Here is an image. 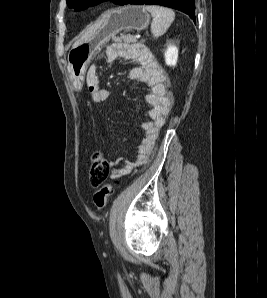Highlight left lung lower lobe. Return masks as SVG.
Masks as SVG:
<instances>
[{
    "label": "left lung lower lobe",
    "mask_w": 267,
    "mask_h": 298,
    "mask_svg": "<svg viewBox=\"0 0 267 298\" xmlns=\"http://www.w3.org/2000/svg\"><path fill=\"white\" fill-rule=\"evenodd\" d=\"M127 4H155L170 7L186 13L195 22L194 0H124L121 5Z\"/></svg>",
    "instance_id": "0a47b994"
}]
</instances>
